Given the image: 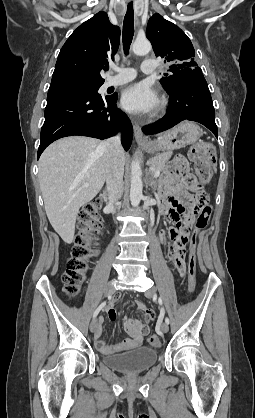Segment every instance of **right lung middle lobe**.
I'll list each match as a JSON object with an SVG mask.
<instances>
[{
	"instance_id": "right-lung-middle-lobe-1",
	"label": "right lung middle lobe",
	"mask_w": 255,
	"mask_h": 418,
	"mask_svg": "<svg viewBox=\"0 0 255 418\" xmlns=\"http://www.w3.org/2000/svg\"><path fill=\"white\" fill-rule=\"evenodd\" d=\"M101 85L102 83H97V84L79 83V84H71V85L60 86V87L49 88V89L50 90L51 89H87V90H92V91H98Z\"/></svg>"
}]
</instances>
